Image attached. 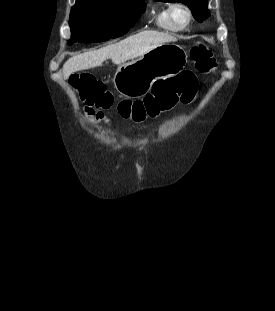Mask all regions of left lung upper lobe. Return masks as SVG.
Returning <instances> with one entry per match:
<instances>
[{"label": "left lung upper lobe", "instance_id": "1", "mask_svg": "<svg viewBox=\"0 0 275 311\" xmlns=\"http://www.w3.org/2000/svg\"><path fill=\"white\" fill-rule=\"evenodd\" d=\"M161 2H180L187 5L193 12L194 18L202 22L203 19L209 16L207 9L208 0H158Z\"/></svg>", "mask_w": 275, "mask_h": 311}]
</instances>
